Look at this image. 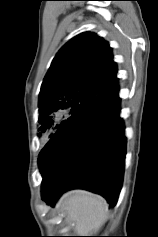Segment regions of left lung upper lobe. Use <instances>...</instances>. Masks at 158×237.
I'll list each match as a JSON object with an SVG mask.
<instances>
[{"label":"left lung upper lobe","mask_w":158,"mask_h":237,"mask_svg":"<svg viewBox=\"0 0 158 237\" xmlns=\"http://www.w3.org/2000/svg\"><path fill=\"white\" fill-rule=\"evenodd\" d=\"M109 44L94 33L67 42L53 59L40 90L39 134L53 130L103 91L117 85Z\"/></svg>","instance_id":"5c2ea615"}]
</instances>
